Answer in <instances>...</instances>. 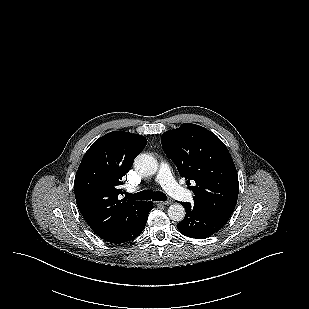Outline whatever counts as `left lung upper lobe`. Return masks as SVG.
I'll return each instance as SVG.
<instances>
[{
	"instance_id": "1",
	"label": "left lung upper lobe",
	"mask_w": 309,
	"mask_h": 309,
	"mask_svg": "<svg viewBox=\"0 0 309 309\" xmlns=\"http://www.w3.org/2000/svg\"><path fill=\"white\" fill-rule=\"evenodd\" d=\"M161 144L187 184L195 181L190 186L194 202L230 216L237 203L239 183L225 144L211 131L191 123L163 133Z\"/></svg>"
}]
</instances>
